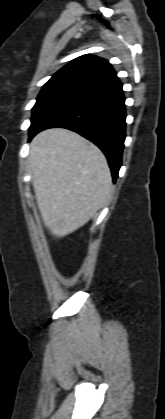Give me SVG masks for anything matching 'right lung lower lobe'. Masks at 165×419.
Here are the masks:
<instances>
[{
	"instance_id": "obj_1",
	"label": "right lung lower lobe",
	"mask_w": 165,
	"mask_h": 419,
	"mask_svg": "<svg viewBox=\"0 0 165 419\" xmlns=\"http://www.w3.org/2000/svg\"><path fill=\"white\" fill-rule=\"evenodd\" d=\"M125 119V97L122 84L118 81L94 93L82 95L50 113L29 133V140L40 131L52 127L73 130L103 151L115 182L126 137Z\"/></svg>"
}]
</instances>
